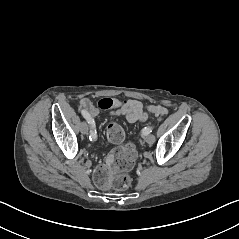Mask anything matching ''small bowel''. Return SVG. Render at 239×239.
Here are the masks:
<instances>
[{"label":"small bowel","mask_w":239,"mask_h":239,"mask_svg":"<svg viewBox=\"0 0 239 239\" xmlns=\"http://www.w3.org/2000/svg\"><path fill=\"white\" fill-rule=\"evenodd\" d=\"M81 111H86L95 126V118L99 113V110L88 100L82 99L80 101ZM115 111L113 114L124 116L128 122H144L148 118L147 112L143 109V106L140 102L136 100H114Z\"/></svg>","instance_id":"c3829d8e"}]
</instances>
